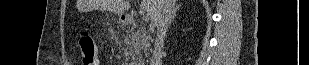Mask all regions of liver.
<instances>
[{"instance_id":"obj_1","label":"liver","mask_w":309,"mask_h":65,"mask_svg":"<svg viewBox=\"0 0 309 65\" xmlns=\"http://www.w3.org/2000/svg\"><path fill=\"white\" fill-rule=\"evenodd\" d=\"M176 0H141L140 8L147 12L153 25L156 23L165 9L166 5L174 7ZM78 7L82 11L100 9L114 12L121 16L129 10L131 5L129 0H81Z\"/></svg>"}]
</instances>
